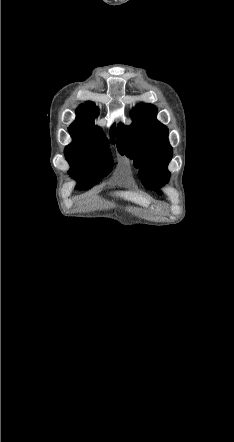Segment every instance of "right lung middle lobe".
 <instances>
[{
    "label": "right lung middle lobe",
    "instance_id": "1",
    "mask_svg": "<svg viewBox=\"0 0 234 442\" xmlns=\"http://www.w3.org/2000/svg\"><path fill=\"white\" fill-rule=\"evenodd\" d=\"M71 137L72 143L65 148L66 160L71 166L69 174L78 181L77 188L86 190L111 172L113 160L110 149L108 146L90 147Z\"/></svg>",
    "mask_w": 234,
    "mask_h": 442
}]
</instances>
